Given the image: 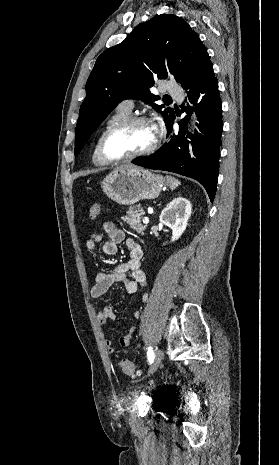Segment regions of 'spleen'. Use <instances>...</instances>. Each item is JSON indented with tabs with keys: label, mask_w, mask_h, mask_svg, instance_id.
Listing matches in <instances>:
<instances>
[{
	"label": "spleen",
	"mask_w": 279,
	"mask_h": 465,
	"mask_svg": "<svg viewBox=\"0 0 279 465\" xmlns=\"http://www.w3.org/2000/svg\"><path fill=\"white\" fill-rule=\"evenodd\" d=\"M167 181H168L169 187L171 189H175L176 187H178L180 185V181H178L177 179H175L174 177H171V176H167Z\"/></svg>",
	"instance_id": "3e777b00"
}]
</instances>
